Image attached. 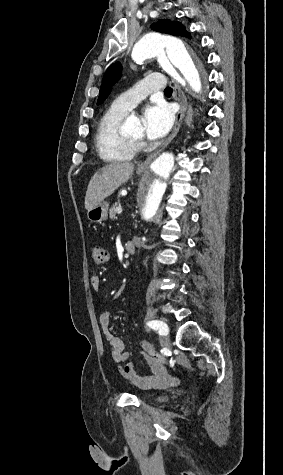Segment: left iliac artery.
<instances>
[{"label": "left iliac artery", "mask_w": 283, "mask_h": 475, "mask_svg": "<svg viewBox=\"0 0 283 475\" xmlns=\"http://www.w3.org/2000/svg\"><path fill=\"white\" fill-rule=\"evenodd\" d=\"M148 325L154 329V330H160L159 333L160 334H163V335H166V331H165V326H167L165 323H163L162 321H158V320H154V321H150L148 323Z\"/></svg>", "instance_id": "1"}]
</instances>
